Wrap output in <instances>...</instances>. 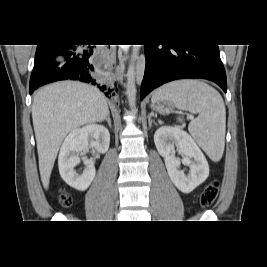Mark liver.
I'll return each instance as SVG.
<instances>
[{
    "label": "liver",
    "mask_w": 267,
    "mask_h": 267,
    "mask_svg": "<svg viewBox=\"0 0 267 267\" xmlns=\"http://www.w3.org/2000/svg\"><path fill=\"white\" fill-rule=\"evenodd\" d=\"M108 105L104 95L90 85L62 81L36 92L32 105L39 171L45 189L59 148L69 132L105 120Z\"/></svg>",
    "instance_id": "1"
}]
</instances>
